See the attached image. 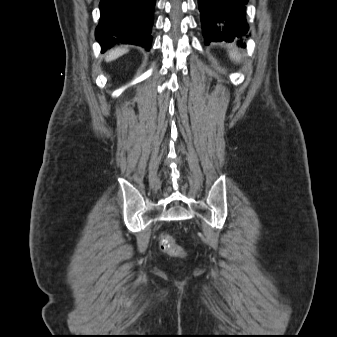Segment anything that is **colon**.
<instances>
[{
  "mask_svg": "<svg viewBox=\"0 0 337 337\" xmlns=\"http://www.w3.org/2000/svg\"><path fill=\"white\" fill-rule=\"evenodd\" d=\"M159 246L163 252L175 255L182 254L181 248L174 242L172 236L167 232L160 235Z\"/></svg>",
  "mask_w": 337,
  "mask_h": 337,
  "instance_id": "5ec220e1",
  "label": "colon"
}]
</instances>
